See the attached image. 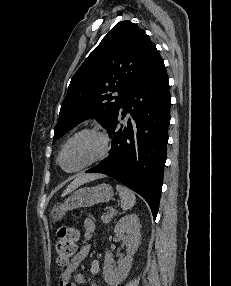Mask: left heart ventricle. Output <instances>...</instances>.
<instances>
[{"label":"left heart ventricle","mask_w":231,"mask_h":286,"mask_svg":"<svg viewBox=\"0 0 231 286\" xmlns=\"http://www.w3.org/2000/svg\"><path fill=\"white\" fill-rule=\"evenodd\" d=\"M100 148V141L96 136L81 135L66 147L62 157V165L66 170L76 169L97 156Z\"/></svg>","instance_id":"b2bd125f"}]
</instances>
